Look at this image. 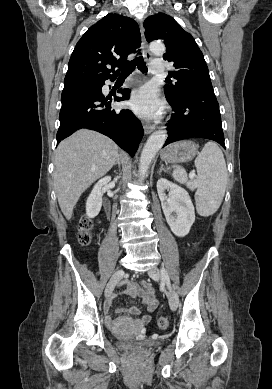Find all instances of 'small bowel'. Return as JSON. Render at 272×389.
I'll return each mask as SVG.
<instances>
[{
  "label": "small bowel",
  "instance_id": "small-bowel-1",
  "mask_svg": "<svg viewBox=\"0 0 272 389\" xmlns=\"http://www.w3.org/2000/svg\"><path fill=\"white\" fill-rule=\"evenodd\" d=\"M123 293L133 297L141 298L149 311L154 310L157 306L158 302L155 294V289L153 288V286L149 281H143L141 283H135V282L127 283L125 285ZM107 308L109 309V305L107 306ZM131 312L134 314H138L139 309L135 307L131 309ZM140 321L142 324H147L150 322V316L143 315Z\"/></svg>",
  "mask_w": 272,
  "mask_h": 389
}]
</instances>
